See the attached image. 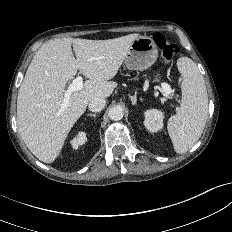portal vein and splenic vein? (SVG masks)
I'll return each mask as SVG.
<instances>
[{"instance_id":"obj_1","label":"portal vein and splenic vein","mask_w":232,"mask_h":232,"mask_svg":"<svg viewBox=\"0 0 232 232\" xmlns=\"http://www.w3.org/2000/svg\"><path fill=\"white\" fill-rule=\"evenodd\" d=\"M161 87H162L163 92L167 96H169L172 93V89L169 84L162 83ZM82 89H83V78L82 76H77L65 90L62 110L68 106L71 94L73 92L80 91Z\"/></svg>"}]
</instances>
